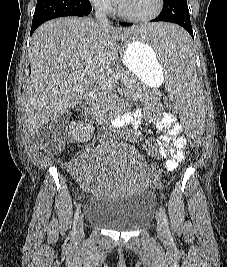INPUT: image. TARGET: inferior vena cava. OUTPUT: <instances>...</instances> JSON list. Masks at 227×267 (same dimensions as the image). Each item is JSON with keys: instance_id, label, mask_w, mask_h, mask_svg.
I'll return each mask as SVG.
<instances>
[{"instance_id": "inferior-vena-cava-1", "label": "inferior vena cava", "mask_w": 227, "mask_h": 267, "mask_svg": "<svg viewBox=\"0 0 227 267\" xmlns=\"http://www.w3.org/2000/svg\"><path fill=\"white\" fill-rule=\"evenodd\" d=\"M107 4L102 0L95 5V18L101 27L109 28V21L106 15Z\"/></svg>"}]
</instances>
